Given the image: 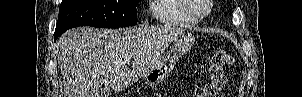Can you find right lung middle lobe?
<instances>
[{
  "label": "right lung middle lobe",
  "mask_w": 302,
  "mask_h": 97,
  "mask_svg": "<svg viewBox=\"0 0 302 97\" xmlns=\"http://www.w3.org/2000/svg\"><path fill=\"white\" fill-rule=\"evenodd\" d=\"M139 1L63 0L55 32L62 34L78 26L117 28L136 25V6Z\"/></svg>",
  "instance_id": "right-lung-middle-lobe-1"
}]
</instances>
